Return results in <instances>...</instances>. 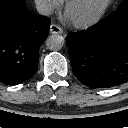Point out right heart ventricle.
I'll list each match as a JSON object with an SVG mask.
<instances>
[{"label": "right heart ventricle", "mask_w": 128, "mask_h": 128, "mask_svg": "<svg viewBox=\"0 0 128 128\" xmlns=\"http://www.w3.org/2000/svg\"><path fill=\"white\" fill-rule=\"evenodd\" d=\"M62 2H64V1H67V0H61Z\"/></svg>", "instance_id": "e07e8e85"}]
</instances>
